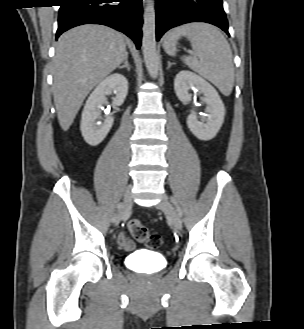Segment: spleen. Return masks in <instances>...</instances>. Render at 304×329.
Returning a JSON list of instances; mask_svg holds the SVG:
<instances>
[{
  "mask_svg": "<svg viewBox=\"0 0 304 329\" xmlns=\"http://www.w3.org/2000/svg\"><path fill=\"white\" fill-rule=\"evenodd\" d=\"M181 36L189 39L194 51L192 56H183V62L213 83L223 95L229 96L234 85V65L230 45L220 30L200 22L176 27L164 40L163 47L168 55H176V42Z\"/></svg>",
  "mask_w": 304,
  "mask_h": 329,
  "instance_id": "3e777b00",
  "label": "spleen"
}]
</instances>
